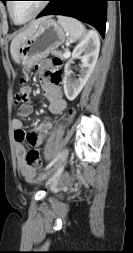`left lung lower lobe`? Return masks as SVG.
Segmentation results:
<instances>
[{
	"label": "left lung lower lobe",
	"instance_id": "left-lung-lower-lobe-1",
	"mask_svg": "<svg viewBox=\"0 0 133 253\" xmlns=\"http://www.w3.org/2000/svg\"><path fill=\"white\" fill-rule=\"evenodd\" d=\"M47 7L38 15H66L95 27L102 37L105 35L107 1L109 0H48Z\"/></svg>",
	"mask_w": 133,
	"mask_h": 253
}]
</instances>
